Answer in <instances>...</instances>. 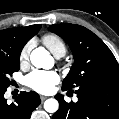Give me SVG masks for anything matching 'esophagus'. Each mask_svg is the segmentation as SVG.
<instances>
[{
	"instance_id": "esophagus-1",
	"label": "esophagus",
	"mask_w": 119,
	"mask_h": 119,
	"mask_svg": "<svg viewBox=\"0 0 119 119\" xmlns=\"http://www.w3.org/2000/svg\"><path fill=\"white\" fill-rule=\"evenodd\" d=\"M40 99H41V101H45L47 99V97L42 95V96H40Z\"/></svg>"
}]
</instances>
